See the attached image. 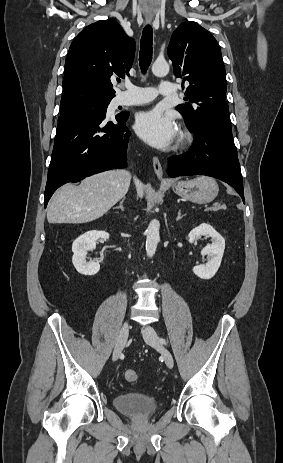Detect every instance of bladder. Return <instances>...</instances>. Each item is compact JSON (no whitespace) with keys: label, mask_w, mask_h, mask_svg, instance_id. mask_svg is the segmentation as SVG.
Here are the masks:
<instances>
[{"label":"bladder","mask_w":283,"mask_h":463,"mask_svg":"<svg viewBox=\"0 0 283 463\" xmlns=\"http://www.w3.org/2000/svg\"><path fill=\"white\" fill-rule=\"evenodd\" d=\"M115 408L122 414L132 418H144L154 414L160 403L153 395L138 392L120 393L114 398Z\"/></svg>","instance_id":"1"}]
</instances>
